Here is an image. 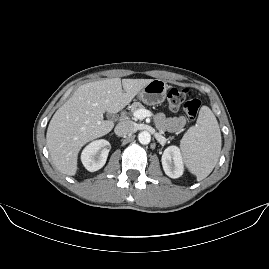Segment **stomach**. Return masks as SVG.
<instances>
[{
  "label": "stomach",
  "instance_id": "obj_1",
  "mask_svg": "<svg viewBox=\"0 0 269 269\" xmlns=\"http://www.w3.org/2000/svg\"><path fill=\"white\" fill-rule=\"evenodd\" d=\"M166 90V82L154 79L136 94V99L148 105L158 104L165 99Z\"/></svg>",
  "mask_w": 269,
  "mask_h": 269
}]
</instances>
